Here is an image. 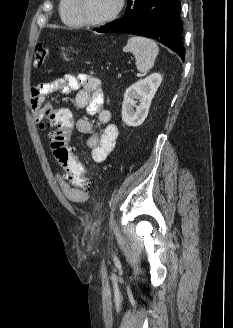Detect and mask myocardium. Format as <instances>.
<instances>
[{
  "label": "myocardium",
  "mask_w": 233,
  "mask_h": 328,
  "mask_svg": "<svg viewBox=\"0 0 233 328\" xmlns=\"http://www.w3.org/2000/svg\"><path fill=\"white\" fill-rule=\"evenodd\" d=\"M125 4H126L125 0H118L117 6H116L115 10L113 11V13L111 15H109L108 17L98 20V21H90V20H87L84 18L82 11H81V0H75L74 10H75L76 17L79 20V22L81 23V25L88 26V27H98V26L108 24V23L114 21L115 19H117L120 16V14L122 13V11L124 10Z\"/></svg>",
  "instance_id": "obj_1"
}]
</instances>
